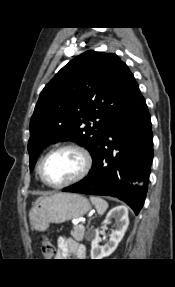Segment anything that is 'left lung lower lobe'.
Masks as SVG:
<instances>
[{"instance_id":"0a47b994","label":"left lung lower lobe","mask_w":175,"mask_h":287,"mask_svg":"<svg viewBox=\"0 0 175 287\" xmlns=\"http://www.w3.org/2000/svg\"><path fill=\"white\" fill-rule=\"evenodd\" d=\"M152 160L151 118L138 89L102 137L89 174L63 191L116 197L137 215L146 198Z\"/></svg>"}]
</instances>
